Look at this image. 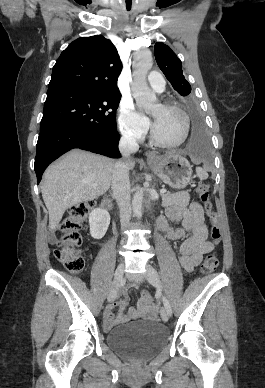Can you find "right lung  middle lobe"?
Wrapping results in <instances>:
<instances>
[{
    "mask_svg": "<svg viewBox=\"0 0 265 388\" xmlns=\"http://www.w3.org/2000/svg\"><path fill=\"white\" fill-rule=\"evenodd\" d=\"M121 94L118 89L97 91H64L47 95L40 132L75 125L104 133L116 132V116Z\"/></svg>",
    "mask_w": 265,
    "mask_h": 388,
    "instance_id": "right-lung-middle-lobe-1",
    "label": "right lung middle lobe"
}]
</instances>
